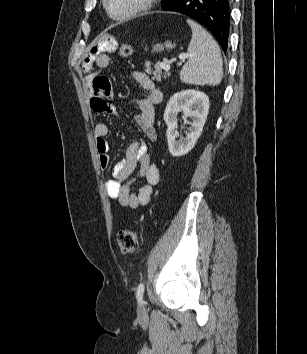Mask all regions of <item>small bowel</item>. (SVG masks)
<instances>
[{
    "label": "small bowel",
    "mask_w": 307,
    "mask_h": 354,
    "mask_svg": "<svg viewBox=\"0 0 307 354\" xmlns=\"http://www.w3.org/2000/svg\"><path fill=\"white\" fill-rule=\"evenodd\" d=\"M116 38L107 34L91 48L82 62L85 72V83L91 89V107L97 113L118 115L115 107L110 104L111 86L107 77L96 73L95 68H106L109 63L104 51H112L117 47ZM134 79L146 91L145 97L137 101L139 111L136 122L141 131V137L133 141L127 148L124 159L117 162L112 168V179L106 181L105 186L110 198L117 199L120 205L136 209L150 202L153 187L159 183L158 167L150 160L147 141L156 138L154 106L162 100V93L152 80L143 72H133ZM109 128L104 122L95 125L94 135L99 154V163L102 169L110 164L109 143L106 140ZM138 170L137 175L133 176ZM136 178H144L145 184L136 194L131 192V184Z\"/></svg>",
    "instance_id": "c3829d8e"
}]
</instances>
